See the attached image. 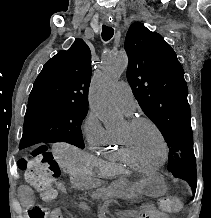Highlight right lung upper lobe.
<instances>
[{"label":"right lung upper lobe","mask_w":211,"mask_h":218,"mask_svg":"<svg viewBox=\"0 0 211 218\" xmlns=\"http://www.w3.org/2000/svg\"><path fill=\"white\" fill-rule=\"evenodd\" d=\"M90 80V49L83 40L76 39L69 50L60 51L44 65L28 104L50 102L88 106Z\"/></svg>","instance_id":"cb5924a9"}]
</instances>
